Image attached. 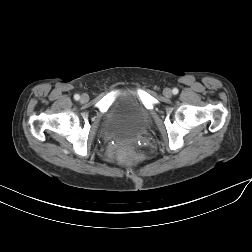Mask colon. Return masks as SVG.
Segmentation results:
<instances>
[{"mask_svg": "<svg viewBox=\"0 0 252 252\" xmlns=\"http://www.w3.org/2000/svg\"><path fill=\"white\" fill-rule=\"evenodd\" d=\"M118 158L125 163H136L141 155L133 146L124 145L118 151Z\"/></svg>", "mask_w": 252, "mask_h": 252, "instance_id": "5ec220e1", "label": "colon"}]
</instances>
